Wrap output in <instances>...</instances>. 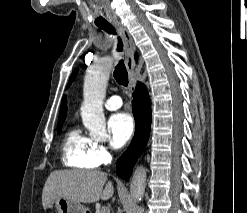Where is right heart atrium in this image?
Wrapping results in <instances>:
<instances>
[{"instance_id":"obj_1","label":"right heart atrium","mask_w":247,"mask_h":213,"mask_svg":"<svg viewBox=\"0 0 247 213\" xmlns=\"http://www.w3.org/2000/svg\"><path fill=\"white\" fill-rule=\"evenodd\" d=\"M91 155L97 166L106 165L111 160V152L107 146L98 141H93Z\"/></svg>"}]
</instances>
